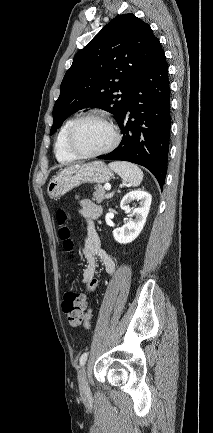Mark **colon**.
<instances>
[{
	"label": "colon",
	"instance_id": "colon-1",
	"mask_svg": "<svg viewBox=\"0 0 213 433\" xmlns=\"http://www.w3.org/2000/svg\"><path fill=\"white\" fill-rule=\"evenodd\" d=\"M57 221L60 225L59 237L62 240L66 251L72 252L74 243L70 228L67 226L68 214L64 209H59L56 213ZM86 297L83 293L69 288L63 296L62 309L70 326H84L89 328L87 316Z\"/></svg>",
	"mask_w": 213,
	"mask_h": 433
}]
</instances>
